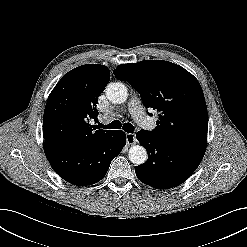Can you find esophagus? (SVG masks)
Here are the masks:
<instances>
[{
  "mask_svg": "<svg viewBox=\"0 0 247 247\" xmlns=\"http://www.w3.org/2000/svg\"><path fill=\"white\" fill-rule=\"evenodd\" d=\"M126 143L128 145H133L136 143V137L134 133H126Z\"/></svg>",
  "mask_w": 247,
  "mask_h": 247,
  "instance_id": "34e87169",
  "label": "esophagus"
}]
</instances>
